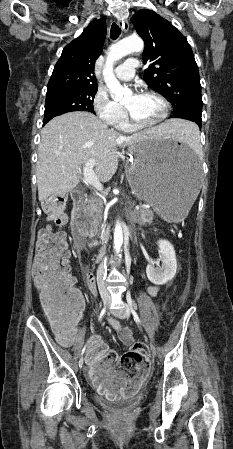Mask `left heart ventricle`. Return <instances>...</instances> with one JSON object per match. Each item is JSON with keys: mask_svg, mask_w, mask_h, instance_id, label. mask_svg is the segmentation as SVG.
Returning a JSON list of instances; mask_svg holds the SVG:
<instances>
[{"mask_svg": "<svg viewBox=\"0 0 233 449\" xmlns=\"http://www.w3.org/2000/svg\"><path fill=\"white\" fill-rule=\"evenodd\" d=\"M133 116L140 122H152L157 120L162 114L161 103L153 96L130 95L124 102Z\"/></svg>", "mask_w": 233, "mask_h": 449, "instance_id": "1", "label": "left heart ventricle"}]
</instances>
